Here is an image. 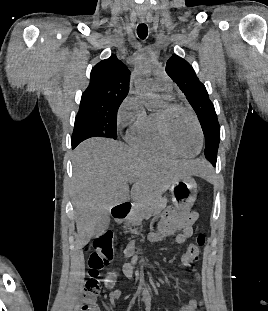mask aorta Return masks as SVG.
<instances>
[{"label": "aorta", "instance_id": "aorta-1", "mask_svg": "<svg viewBox=\"0 0 268 311\" xmlns=\"http://www.w3.org/2000/svg\"><path fill=\"white\" fill-rule=\"evenodd\" d=\"M138 79L136 82V90L142 96L147 97V105L157 102V96L152 93L147 76L154 72L155 67L151 62L143 61L137 65Z\"/></svg>", "mask_w": 268, "mask_h": 311}]
</instances>
